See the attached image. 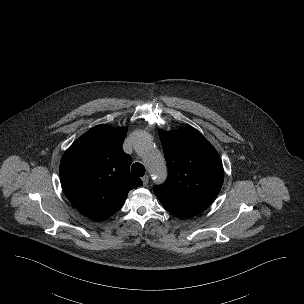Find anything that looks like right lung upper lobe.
Masks as SVG:
<instances>
[{"label":"right lung upper lobe","mask_w":304,"mask_h":304,"mask_svg":"<svg viewBox=\"0 0 304 304\" xmlns=\"http://www.w3.org/2000/svg\"><path fill=\"white\" fill-rule=\"evenodd\" d=\"M127 128H92L65 152L60 179L67 198L84 215L106 220L118 211L131 189L142 185L129 171L132 159L122 149Z\"/></svg>","instance_id":"right-lung-upper-lobe-1"}]
</instances>
